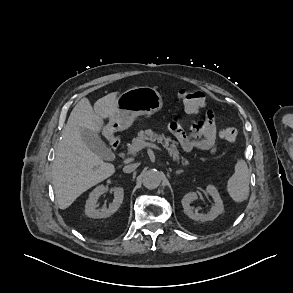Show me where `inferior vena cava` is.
<instances>
[{
	"mask_svg": "<svg viewBox=\"0 0 293 293\" xmlns=\"http://www.w3.org/2000/svg\"><path fill=\"white\" fill-rule=\"evenodd\" d=\"M138 167V164H129L123 167L124 173H131Z\"/></svg>",
	"mask_w": 293,
	"mask_h": 293,
	"instance_id": "inferior-vena-cava-1",
	"label": "inferior vena cava"
}]
</instances>
